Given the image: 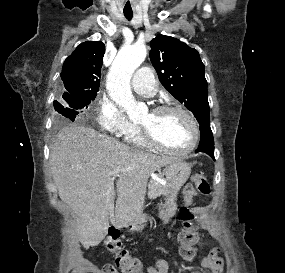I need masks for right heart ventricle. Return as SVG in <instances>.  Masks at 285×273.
<instances>
[{"label":"right heart ventricle","mask_w":285,"mask_h":273,"mask_svg":"<svg viewBox=\"0 0 285 273\" xmlns=\"http://www.w3.org/2000/svg\"><path fill=\"white\" fill-rule=\"evenodd\" d=\"M127 141L136 147H146L147 144L141 139L138 130L132 135L126 137Z\"/></svg>","instance_id":"e07e8e85"}]
</instances>
